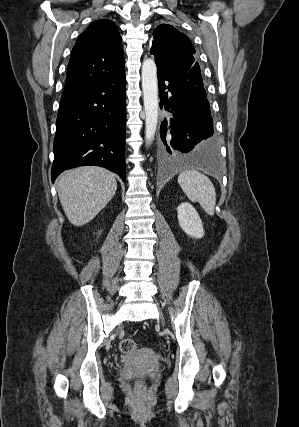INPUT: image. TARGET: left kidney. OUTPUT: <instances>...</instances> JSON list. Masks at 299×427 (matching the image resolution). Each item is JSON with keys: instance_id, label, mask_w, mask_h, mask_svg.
I'll list each match as a JSON object with an SVG mask.
<instances>
[{"instance_id": "obj_1", "label": "left kidney", "mask_w": 299, "mask_h": 427, "mask_svg": "<svg viewBox=\"0 0 299 427\" xmlns=\"http://www.w3.org/2000/svg\"><path fill=\"white\" fill-rule=\"evenodd\" d=\"M178 221L181 229L190 237L201 239L204 236L202 221L195 208L188 202L177 208Z\"/></svg>"}]
</instances>
